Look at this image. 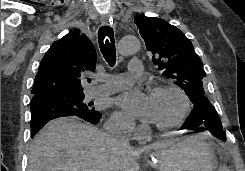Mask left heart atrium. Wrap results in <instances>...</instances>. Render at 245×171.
Here are the masks:
<instances>
[{"label":"left heart atrium","mask_w":245,"mask_h":171,"mask_svg":"<svg viewBox=\"0 0 245 171\" xmlns=\"http://www.w3.org/2000/svg\"><path fill=\"white\" fill-rule=\"evenodd\" d=\"M115 103L132 118L145 122H154L155 113L150 94L134 89L119 95Z\"/></svg>","instance_id":"39dd6f15"}]
</instances>
